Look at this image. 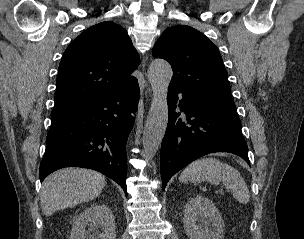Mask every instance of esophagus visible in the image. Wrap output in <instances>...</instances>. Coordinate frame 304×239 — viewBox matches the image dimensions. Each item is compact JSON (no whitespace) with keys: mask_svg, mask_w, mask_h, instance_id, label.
I'll use <instances>...</instances> for the list:
<instances>
[{"mask_svg":"<svg viewBox=\"0 0 304 239\" xmlns=\"http://www.w3.org/2000/svg\"><path fill=\"white\" fill-rule=\"evenodd\" d=\"M144 65H145V63L143 64V66H144ZM146 86H147V85H146ZM147 89H148L149 92H151V89H150V88H147Z\"/></svg>","mask_w":304,"mask_h":239,"instance_id":"1","label":"esophagus"}]
</instances>
